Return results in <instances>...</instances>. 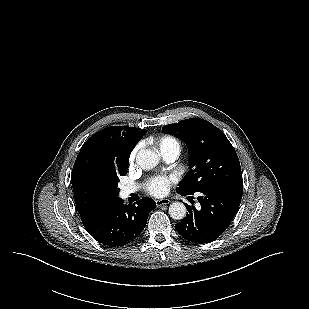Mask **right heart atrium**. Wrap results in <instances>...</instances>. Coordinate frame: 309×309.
Instances as JSON below:
<instances>
[{
    "label": "right heart atrium",
    "instance_id": "1",
    "mask_svg": "<svg viewBox=\"0 0 309 309\" xmlns=\"http://www.w3.org/2000/svg\"><path fill=\"white\" fill-rule=\"evenodd\" d=\"M137 152H138V148H134L131 153H130V156H129V162L130 164L134 163L135 159H136V155H137Z\"/></svg>",
    "mask_w": 309,
    "mask_h": 309
}]
</instances>
